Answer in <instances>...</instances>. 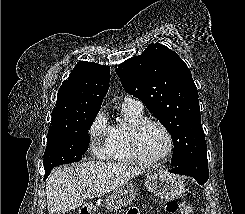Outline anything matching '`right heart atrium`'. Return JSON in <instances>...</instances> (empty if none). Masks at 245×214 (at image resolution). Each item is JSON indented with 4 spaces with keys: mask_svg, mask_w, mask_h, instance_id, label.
<instances>
[{
    "mask_svg": "<svg viewBox=\"0 0 245 214\" xmlns=\"http://www.w3.org/2000/svg\"><path fill=\"white\" fill-rule=\"evenodd\" d=\"M88 137L92 153L97 158H107L111 137V126L104 110H100L92 120L88 129Z\"/></svg>",
    "mask_w": 245,
    "mask_h": 214,
    "instance_id": "obj_1",
    "label": "right heart atrium"
}]
</instances>
